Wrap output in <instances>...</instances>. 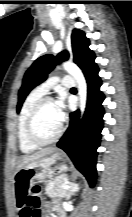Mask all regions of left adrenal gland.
Returning <instances> with one entry per match:
<instances>
[{"instance_id":"obj_1","label":"left adrenal gland","mask_w":132,"mask_h":217,"mask_svg":"<svg viewBox=\"0 0 132 217\" xmlns=\"http://www.w3.org/2000/svg\"><path fill=\"white\" fill-rule=\"evenodd\" d=\"M79 190V184L77 183H71L70 185V188H69V191H68V194L66 195L67 196V199H70L71 196L77 192Z\"/></svg>"}]
</instances>
